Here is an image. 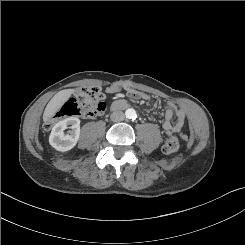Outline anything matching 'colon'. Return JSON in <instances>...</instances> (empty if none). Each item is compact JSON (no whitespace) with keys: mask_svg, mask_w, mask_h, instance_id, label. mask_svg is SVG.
Instances as JSON below:
<instances>
[{"mask_svg":"<svg viewBox=\"0 0 245 245\" xmlns=\"http://www.w3.org/2000/svg\"><path fill=\"white\" fill-rule=\"evenodd\" d=\"M105 110L106 103L101 89L96 86L82 87L64 102L54 116L46 122L45 128L51 129L57 121L63 118L73 116L91 118L103 114ZM179 147V139L174 135L167 137L162 144V150L166 154L175 153Z\"/></svg>","mask_w":245,"mask_h":245,"instance_id":"colon-1","label":"colon"}]
</instances>
